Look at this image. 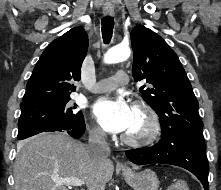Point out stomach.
Returning <instances> with one entry per match:
<instances>
[{
    "label": "stomach",
    "instance_id": "0dacf381",
    "mask_svg": "<svg viewBox=\"0 0 221 190\" xmlns=\"http://www.w3.org/2000/svg\"><path fill=\"white\" fill-rule=\"evenodd\" d=\"M122 174L133 190H158L159 188L158 177L150 169L136 172L135 170L124 168L122 169Z\"/></svg>",
    "mask_w": 221,
    "mask_h": 190
}]
</instances>
